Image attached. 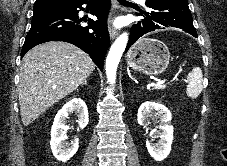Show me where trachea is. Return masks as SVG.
<instances>
[{
	"mask_svg": "<svg viewBox=\"0 0 227 166\" xmlns=\"http://www.w3.org/2000/svg\"><path fill=\"white\" fill-rule=\"evenodd\" d=\"M121 4H130V2L126 1V0H118Z\"/></svg>",
	"mask_w": 227,
	"mask_h": 166,
	"instance_id": "3493384b",
	"label": "trachea"
}]
</instances>
